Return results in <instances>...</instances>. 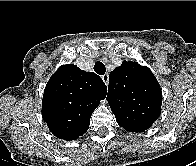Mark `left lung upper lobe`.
<instances>
[{"label": "left lung upper lobe", "instance_id": "obj_1", "mask_svg": "<svg viewBox=\"0 0 196 166\" xmlns=\"http://www.w3.org/2000/svg\"><path fill=\"white\" fill-rule=\"evenodd\" d=\"M107 101L117 123L130 132H143L161 113L162 92L151 70L123 61L110 73Z\"/></svg>", "mask_w": 196, "mask_h": 166}]
</instances>
